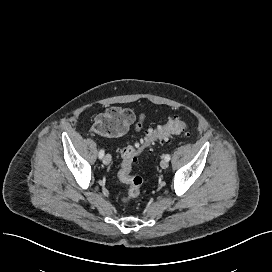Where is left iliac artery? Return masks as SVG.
Returning a JSON list of instances; mask_svg holds the SVG:
<instances>
[{
	"label": "left iliac artery",
	"instance_id": "1",
	"mask_svg": "<svg viewBox=\"0 0 272 272\" xmlns=\"http://www.w3.org/2000/svg\"><path fill=\"white\" fill-rule=\"evenodd\" d=\"M164 158H165L167 161H169V160H170V155H169V154H166V155L164 156Z\"/></svg>",
	"mask_w": 272,
	"mask_h": 272
}]
</instances>
